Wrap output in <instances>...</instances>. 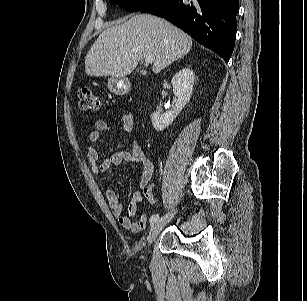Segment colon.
<instances>
[{
    "label": "colon",
    "mask_w": 307,
    "mask_h": 301,
    "mask_svg": "<svg viewBox=\"0 0 307 301\" xmlns=\"http://www.w3.org/2000/svg\"><path fill=\"white\" fill-rule=\"evenodd\" d=\"M78 107L83 112H96L100 109L99 96L91 89H81L77 93Z\"/></svg>",
    "instance_id": "colon-1"
}]
</instances>
